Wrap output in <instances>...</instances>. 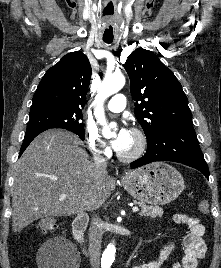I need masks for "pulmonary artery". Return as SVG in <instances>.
Listing matches in <instances>:
<instances>
[{
  "label": "pulmonary artery",
  "instance_id": "pulmonary-artery-1",
  "mask_svg": "<svg viewBox=\"0 0 221 268\" xmlns=\"http://www.w3.org/2000/svg\"><path fill=\"white\" fill-rule=\"evenodd\" d=\"M126 106V97L123 94L114 95L107 104L109 111L114 113L121 112Z\"/></svg>",
  "mask_w": 221,
  "mask_h": 268
}]
</instances>
